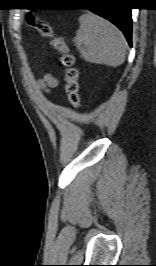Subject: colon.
I'll use <instances>...</instances> for the list:
<instances>
[{
    "mask_svg": "<svg viewBox=\"0 0 156 266\" xmlns=\"http://www.w3.org/2000/svg\"><path fill=\"white\" fill-rule=\"evenodd\" d=\"M27 24L36 29L38 33L50 40L51 46L60 54V62L65 70L66 94L69 103L76 109L81 106L79 93V73L74 66L75 58L62 37L56 35L50 24L39 22L33 16L27 17Z\"/></svg>",
    "mask_w": 156,
    "mask_h": 266,
    "instance_id": "1",
    "label": "colon"
}]
</instances>
